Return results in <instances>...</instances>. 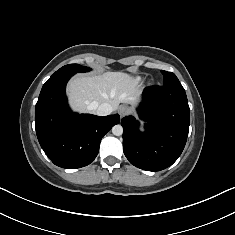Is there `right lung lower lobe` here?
<instances>
[{
  "mask_svg": "<svg viewBox=\"0 0 235 235\" xmlns=\"http://www.w3.org/2000/svg\"><path fill=\"white\" fill-rule=\"evenodd\" d=\"M74 74L52 75L35 107V128L42 149L55 165L67 169L89 165L98 154L103 136L120 120L118 114L102 117L73 113L65 88Z\"/></svg>",
  "mask_w": 235,
  "mask_h": 235,
  "instance_id": "obj_1",
  "label": "right lung lower lobe"
}]
</instances>
